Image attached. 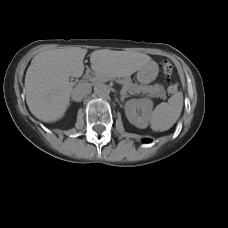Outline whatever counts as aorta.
Here are the masks:
<instances>
[{
	"label": "aorta",
	"mask_w": 228,
	"mask_h": 228,
	"mask_svg": "<svg viewBox=\"0 0 228 228\" xmlns=\"http://www.w3.org/2000/svg\"><path fill=\"white\" fill-rule=\"evenodd\" d=\"M94 92L100 98H105L108 96V89L103 83H96L94 85Z\"/></svg>",
	"instance_id": "1"
}]
</instances>
